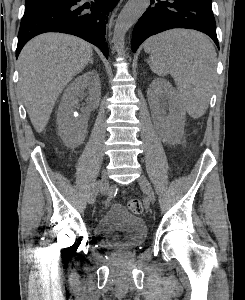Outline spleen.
Listing matches in <instances>:
<instances>
[{"instance_id": "spleen-1", "label": "spleen", "mask_w": 245, "mask_h": 300, "mask_svg": "<svg viewBox=\"0 0 245 300\" xmlns=\"http://www.w3.org/2000/svg\"><path fill=\"white\" fill-rule=\"evenodd\" d=\"M144 51L150 54L148 63L155 74L174 78L189 115L201 117L215 74L216 52L211 42L198 32L174 29L149 38Z\"/></svg>"}]
</instances>
